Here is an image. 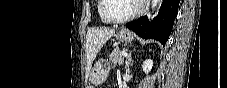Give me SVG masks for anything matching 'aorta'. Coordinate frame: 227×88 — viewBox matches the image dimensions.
<instances>
[{"label": "aorta", "instance_id": "762f6f07", "mask_svg": "<svg viewBox=\"0 0 227 88\" xmlns=\"http://www.w3.org/2000/svg\"><path fill=\"white\" fill-rule=\"evenodd\" d=\"M160 3H161V0H152L151 9L154 10ZM152 13H153V11H152ZM149 15H151V12Z\"/></svg>", "mask_w": 227, "mask_h": 88}]
</instances>
